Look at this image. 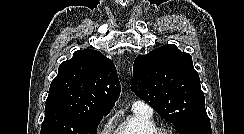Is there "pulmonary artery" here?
<instances>
[{
  "label": "pulmonary artery",
  "instance_id": "e3ab8cb5",
  "mask_svg": "<svg viewBox=\"0 0 244 134\" xmlns=\"http://www.w3.org/2000/svg\"><path fill=\"white\" fill-rule=\"evenodd\" d=\"M133 109L140 110V111H144V112H147V113H150V114L152 112V109L147 104H145L142 101H136V102H134Z\"/></svg>",
  "mask_w": 244,
  "mask_h": 134
}]
</instances>
